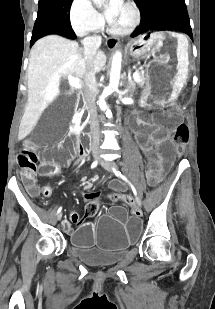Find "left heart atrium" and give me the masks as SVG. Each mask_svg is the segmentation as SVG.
<instances>
[{
	"mask_svg": "<svg viewBox=\"0 0 215 309\" xmlns=\"http://www.w3.org/2000/svg\"><path fill=\"white\" fill-rule=\"evenodd\" d=\"M123 0H108L107 6L108 7H115L108 9L104 12V20H119L121 17L123 10H122Z\"/></svg>",
	"mask_w": 215,
	"mask_h": 309,
	"instance_id": "obj_1",
	"label": "left heart atrium"
}]
</instances>
